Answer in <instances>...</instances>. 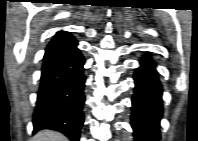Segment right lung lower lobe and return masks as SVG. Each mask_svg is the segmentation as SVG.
<instances>
[{
  "label": "right lung lower lobe",
  "mask_w": 198,
  "mask_h": 141,
  "mask_svg": "<svg viewBox=\"0 0 198 141\" xmlns=\"http://www.w3.org/2000/svg\"><path fill=\"white\" fill-rule=\"evenodd\" d=\"M77 45L75 38L65 32L55 36L46 48L33 114L34 133L52 129L79 140L86 78L85 59Z\"/></svg>",
  "instance_id": "1"
}]
</instances>
